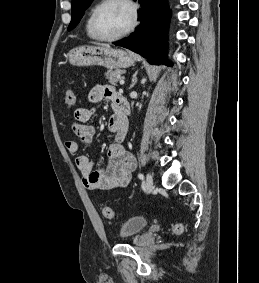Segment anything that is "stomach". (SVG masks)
Returning <instances> with one entry per match:
<instances>
[{"mask_svg":"<svg viewBox=\"0 0 259 283\" xmlns=\"http://www.w3.org/2000/svg\"><path fill=\"white\" fill-rule=\"evenodd\" d=\"M134 61L131 52L104 46H80L69 54L70 64L76 66L99 65L108 69H118L130 67Z\"/></svg>","mask_w":259,"mask_h":283,"instance_id":"stomach-1","label":"stomach"}]
</instances>
